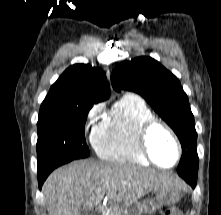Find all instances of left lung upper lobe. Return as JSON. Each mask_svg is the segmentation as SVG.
I'll return each mask as SVG.
<instances>
[{
    "mask_svg": "<svg viewBox=\"0 0 221 215\" xmlns=\"http://www.w3.org/2000/svg\"><path fill=\"white\" fill-rule=\"evenodd\" d=\"M115 90L140 94L174 130L182 146L179 175L198 174L197 133L188 97L175 75L151 57H138L114 68Z\"/></svg>",
    "mask_w": 221,
    "mask_h": 215,
    "instance_id": "left-lung-upper-lobe-1",
    "label": "left lung upper lobe"
}]
</instances>
